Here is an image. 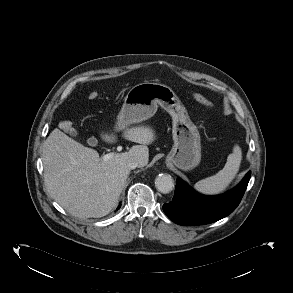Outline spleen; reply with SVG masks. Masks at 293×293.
I'll use <instances>...</instances> for the list:
<instances>
[{"label":"spleen","instance_id":"obj_1","mask_svg":"<svg viewBox=\"0 0 293 293\" xmlns=\"http://www.w3.org/2000/svg\"><path fill=\"white\" fill-rule=\"evenodd\" d=\"M242 160L241 148L236 145L233 153L227 157V162L217 174L198 181L194 188L204 194H219L223 192L237 175Z\"/></svg>","mask_w":293,"mask_h":293}]
</instances>
